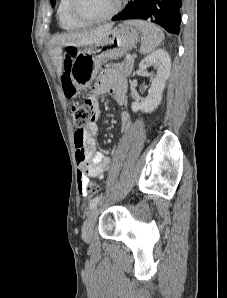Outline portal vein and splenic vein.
I'll use <instances>...</instances> for the list:
<instances>
[{
  "instance_id": "portal-vein-and-splenic-vein-1",
  "label": "portal vein and splenic vein",
  "mask_w": 227,
  "mask_h": 298,
  "mask_svg": "<svg viewBox=\"0 0 227 298\" xmlns=\"http://www.w3.org/2000/svg\"><path fill=\"white\" fill-rule=\"evenodd\" d=\"M126 59L127 60H131L132 59V56L131 55H126Z\"/></svg>"
}]
</instances>
